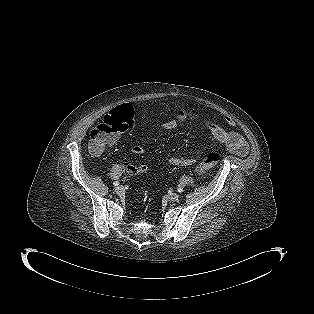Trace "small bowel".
<instances>
[{
	"mask_svg": "<svg viewBox=\"0 0 314 314\" xmlns=\"http://www.w3.org/2000/svg\"><path fill=\"white\" fill-rule=\"evenodd\" d=\"M172 117L162 124V128L165 130L173 129L177 125V121H185L188 118H199V115L194 113H187V109L183 105H176L172 109ZM211 136L226 149L234 154L245 156L248 153V144L243 137L232 130H227L219 123L215 121H205ZM225 123L229 126L232 125V121L229 118L225 119ZM119 140V136L109 144L108 146L114 145ZM132 152L136 155H142L145 153V148L141 145H135L132 147ZM195 162L192 158L184 157H173L170 159V163L174 166H190ZM144 165H128L126 171L128 174L135 175L146 171Z\"/></svg>",
	"mask_w": 314,
	"mask_h": 314,
	"instance_id": "1",
	"label": "small bowel"
}]
</instances>
